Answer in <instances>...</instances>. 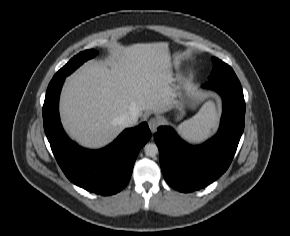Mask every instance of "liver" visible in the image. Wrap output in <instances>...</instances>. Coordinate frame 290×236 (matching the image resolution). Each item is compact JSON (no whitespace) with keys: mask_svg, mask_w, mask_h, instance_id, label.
I'll use <instances>...</instances> for the list:
<instances>
[{"mask_svg":"<svg viewBox=\"0 0 290 236\" xmlns=\"http://www.w3.org/2000/svg\"><path fill=\"white\" fill-rule=\"evenodd\" d=\"M168 43L120 47L105 62L91 61L67 78L60 116L69 136L101 148L123 129L122 114L163 113L172 102Z\"/></svg>","mask_w":290,"mask_h":236,"instance_id":"1","label":"liver"}]
</instances>
